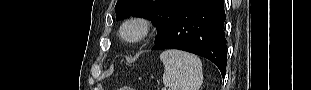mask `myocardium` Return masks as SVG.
I'll list each match as a JSON object with an SVG mask.
<instances>
[{
    "mask_svg": "<svg viewBox=\"0 0 311 90\" xmlns=\"http://www.w3.org/2000/svg\"><path fill=\"white\" fill-rule=\"evenodd\" d=\"M152 22L145 17H131L123 21L119 28L120 39L127 44L144 41L151 34Z\"/></svg>",
    "mask_w": 311,
    "mask_h": 90,
    "instance_id": "f54148a6",
    "label": "myocardium"
}]
</instances>
